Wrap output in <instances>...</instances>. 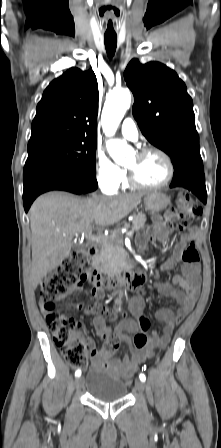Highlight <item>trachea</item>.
I'll return each mask as SVG.
<instances>
[{"instance_id": "trachea-1", "label": "trachea", "mask_w": 221, "mask_h": 448, "mask_svg": "<svg viewBox=\"0 0 221 448\" xmlns=\"http://www.w3.org/2000/svg\"><path fill=\"white\" fill-rule=\"evenodd\" d=\"M116 42H117L116 36H111V35L104 36L105 48H106L107 55L109 58H112L115 54Z\"/></svg>"}]
</instances>
